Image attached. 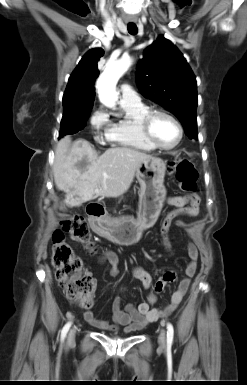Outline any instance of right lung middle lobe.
I'll list each match as a JSON object with an SVG mask.
<instances>
[{
  "mask_svg": "<svg viewBox=\"0 0 247 385\" xmlns=\"http://www.w3.org/2000/svg\"><path fill=\"white\" fill-rule=\"evenodd\" d=\"M93 106L76 104L63 105V118L61 120L60 136L74 134L82 130L87 124V119Z\"/></svg>",
  "mask_w": 247,
  "mask_h": 385,
  "instance_id": "obj_1",
  "label": "right lung middle lobe"
}]
</instances>
